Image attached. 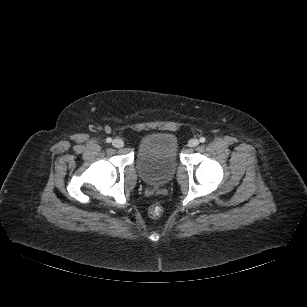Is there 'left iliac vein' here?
<instances>
[{
	"label": "left iliac vein",
	"instance_id": "left-iliac-vein-1",
	"mask_svg": "<svg viewBox=\"0 0 307 307\" xmlns=\"http://www.w3.org/2000/svg\"><path fill=\"white\" fill-rule=\"evenodd\" d=\"M198 144H199V141L197 139H191L188 142L189 147H192V148L198 146Z\"/></svg>",
	"mask_w": 307,
	"mask_h": 307
}]
</instances>
